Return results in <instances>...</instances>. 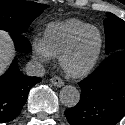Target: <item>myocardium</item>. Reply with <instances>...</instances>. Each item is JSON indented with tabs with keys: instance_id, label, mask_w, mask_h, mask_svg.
<instances>
[{
	"instance_id": "1",
	"label": "myocardium",
	"mask_w": 125,
	"mask_h": 125,
	"mask_svg": "<svg viewBox=\"0 0 125 125\" xmlns=\"http://www.w3.org/2000/svg\"><path fill=\"white\" fill-rule=\"evenodd\" d=\"M87 30H95L98 33V35H99L98 49H97L94 57L91 59V61L85 67H83L81 69H77V70L71 69L67 65V62H66L67 56L74 48L79 37ZM103 43H104L103 35H102L101 30L98 27L90 25L86 28L81 29L80 31H78L77 33H75L72 36V38L69 40V42L66 44V46L61 51V53L59 55V63H60L61 68L64 70L65 73H67L71 77L80 78V77H84V76L88 75L93 70L97 61L99 60V57L101 55L102 48H103Z\"/></svg>"
}]
</instances>
